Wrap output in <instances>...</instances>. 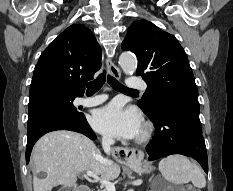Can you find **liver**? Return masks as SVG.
<instances>
[{
	"mask_svg": "<svg viewBox=\"0 0 233 191\" xmlns=\"http://www.w3.org/2000/svg\"><path fill=\"white\" fill-rule=\"evenodd\" d=\"M103 157L86 136L67 130H57L42 136L32 151L34 171L46 172L44 179L33 180L34 191H51L57 185L72 188L83 171L100 174L104 180H114L120 174L117 163H102Z\"/></svg>",
	"mask_w": 233,
	"mask_h": 191,
	"instance_id": "6515ba94",
	"label": "liver"
}]
</instances>
